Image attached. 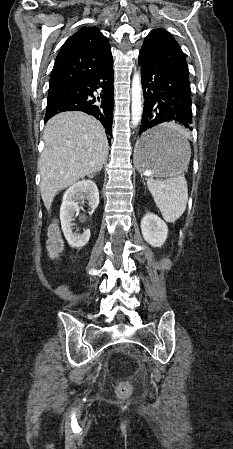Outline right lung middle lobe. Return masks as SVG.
Listing matches in <instances>:
<instances>
[{
	"mask_svg": "<svg viewBox=\"0 0 233 449\" xmlns=\"http://www.w3.org/2000/svg\"><path fill=\"white\" fill-rule=\"evenodd\" d=\"M78 94L74 87H63L49 90L47 106L61 102L66 99L74 98Z\"/></svg>",
	"mask_w": 233,
	"mask_h": 449,
	"instance_id": "right-lung-middle-lobe-1",
	"label": "right lung middle lobe"
}]
</instances>
